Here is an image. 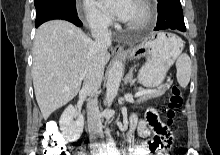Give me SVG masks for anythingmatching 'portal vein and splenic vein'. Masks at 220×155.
<instances>
[{
    "instance_id": "1",
    "label": "portal vein and splenic vein",
    "mask_w": 220,
    "mask_h": 155,
    "mask_svg": "<svg viewBox=\"0 0 220 155\" xmlns=\"http://www.w3.org/2000/svg\"><path fill=\"white\" fill-rule=\"evenodd\" d=\"M155 91H156V89L138 91V92H136L135 97H138V96L143 95V94H150V93H153Z\"/></svg>"
}]
</instances>
